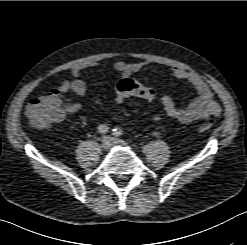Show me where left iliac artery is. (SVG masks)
Here are the masks:
<instances>
[{
	"label": "left iliac artery",
	"instance_id": "obj_1",
	"mask_svg": "<svg viewBox=\"0 0 247 245\" xmlns=\"http://www.w3.org/2000/svg\"><path fill=\"white\" fill-rule=\"evenodd\" d=\"M113 135L119 137L122 135V130L120 128H114L113 129Z\"/></svg>",
	"mask_w": 247,
	"mask_h": 245
}]
</instances>
